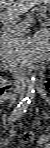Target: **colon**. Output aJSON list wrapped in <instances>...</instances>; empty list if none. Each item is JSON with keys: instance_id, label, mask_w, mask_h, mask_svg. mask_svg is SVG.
<instances>
[{"instance_id": "1", "label": "colon", "mask_w": 50, "mask_h": 148, "mask_svg": "<svg viewBox=\"0 0 50 148\" xmlns=\"http://www.w3.org/2000/svg\"><path fill=\"white\" fill-rule=\"evenodd\" d=\"M9 92H10V87L7 86V85H4V86L1 88V90H0V95H1V96H6V95L9 94Z\"/></svg>"}]
</instances>
